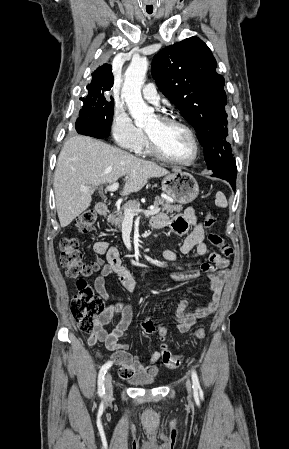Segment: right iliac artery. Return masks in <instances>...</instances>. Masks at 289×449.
Instances as JSON below:
<instances>
[{"label":"right iliac artery","instance_id":"82829eb1","mask_svg":"<svg viewBox=\"0 0 289 449\" xmlns=\"http://www.w3.org/2000/svg\"><path fill=\"white\" fill-rule=\"evenodd\" d=\"M112 366V362L108 361L107 363H105L98 374V394L99 396L103 397L104 393H105V389H104V376L106 374V372L108 371V369Z\"/></svg>","mask_w":289,"mask_h":449}]
</instances>
